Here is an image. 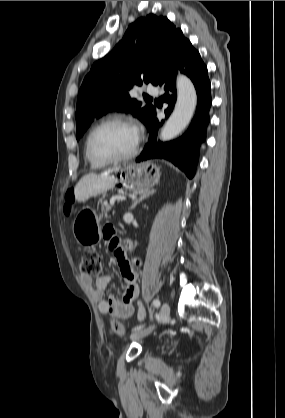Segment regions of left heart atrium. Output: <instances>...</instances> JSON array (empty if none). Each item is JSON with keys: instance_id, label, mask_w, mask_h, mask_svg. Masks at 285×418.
<instances>
[{"instance_id": "obj_1", "label": "left heart atrium", "mask_w": 285, "mask_h": 418, "mask_svg": "<svg viewBox=\"0 0 285 418\" xmlns=\"http://www.w3.org/2000/svg\"><path fill=\"white\" fill-rule=\"evenodd\" d=\"M133 130L135 131V133H137V127L136 126L133 127Z\"/></svg>"}]
</instances>
